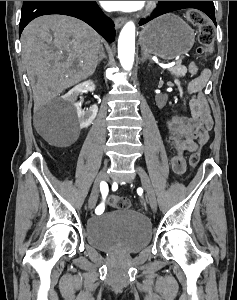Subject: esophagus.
<instances>
[{"label": "esophagus", "mask_w": 237, "mask_h": 300, "mask_svg": "<svg viewBox=\"0 0 237 300\" xmlns=\"http://www.w3.org/2000/svg\"><path fill=\"white\" fill-rule=\"evenodd\" d=\"M124 23H125V18H122V17L116 18L115 19V28L120 29Z\"/></svg>", "instance_id": "34e87169"}]
</instances>
